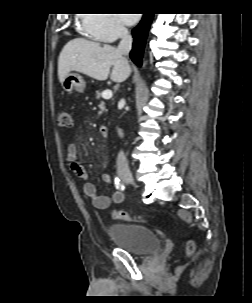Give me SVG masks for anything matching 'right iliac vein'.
Wrapping results in <instances>:
<instances>
[{"label": "right iliac vein", "mask_w": 252, "mask_h": 303, "mask_svg": "<svg viewBox=\"0 0 252 303\" xmlns=\"http://www.w3.org/2000/svg\"><path fill=\"white\" fill-rule=\"evenodd\" d=\"M121 178L130 184L135 185L134 179L131 174H121Z\"/></svg>", "instance_id": "obj_1"}]
</instances>
